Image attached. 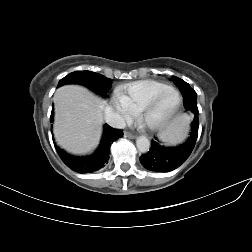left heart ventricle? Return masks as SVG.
<instances>
[{"mask_svg": "<svg viewBox=\"0 0 252 252\" xmlns=\"http://www.w3.org/2000/svg\"><path fill=\"white\" fill-rule=\"evenodd\" d=\"M174 103V97L169 95L167 96L162 102H160L154 110L147 116L148 121L155 120L165 114L167 110L172 106Z\"/></svg>", "mask_w": 252, "mask_h": 252, "instance_id": "obj_1", "label": "left heart ventricle"}]
</instances>
